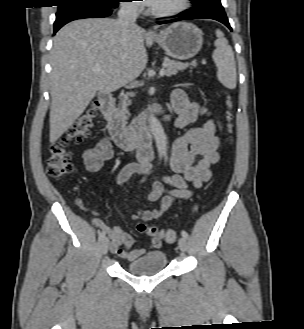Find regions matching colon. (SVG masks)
Returning <instances> with one entry per match:
<instances>
[{
  "label": "colon",
  "instance_id": "obj_1",
  "mask_svg": "<svg viewBox=\"0 0 304 329\" xmlns=\"http://www.w3.org/2000/svg\"><path fill=\"white\" fill-rule=\"evenodd\" d=\"M232 101L230 97L226 100L227 131L229 134L233 130V110ZM98 105L92 103L89 105L78 117L73 127L70 129L66 138L55 141L50 146V156L48 158L47 173L55 178L61 179L69 175L73 171L72 159L67 145L69 141L79 142L87 137L93 127L94 121L97 117ZM229 141L232 142V137L229 136ZM138 232L162 239L165 242L173 243L177 240L178 235L174 229L160 228L157 226H150L145 223H138L136 226Z\"/></svg>",
  "mask_w": 304,
  "mask_h": 329
}]
</instances>
